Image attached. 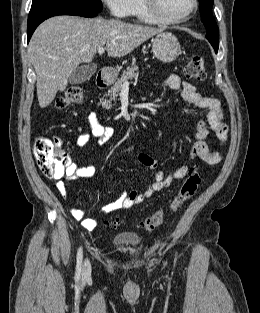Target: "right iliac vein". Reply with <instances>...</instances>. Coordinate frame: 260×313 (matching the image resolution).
I'll return each mask as SVG.
<instances>
[{"mask_svg": "<svg viewBox=\"0 0 260 313\" xmlns=\"http://www.w3.org/2000/svg\"><path fill=\"white\" fill-rule=\"evenodd\" d=\"M91 273V264L88 259H85L82 269V276L83 278H87L90 276Z\"/></svg>", "mask_w": 260, "mask_h": 313, "instance_id": "obj_1", "label": "right iliac vein"}]
</instances>
